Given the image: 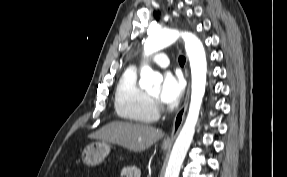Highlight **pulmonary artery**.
I'll use <instances>...</instances> for the list:
<instances>
[{"instance_id":"pulmonary-artery-1","label":"pulmonary artery","mask_w":287,"mask_h":177,"mask_svg":"<svg viewBox=\"0 0 287 177\" xmlns=\"http://www.w3.org/2000/svg\"><path fill=\"white\" fill-rule=\"evenodd\" d=\"M154 63L159 67H167L169 65L168 56L165 53H157L154 56Z\"/></svg>"}]
</instances>
